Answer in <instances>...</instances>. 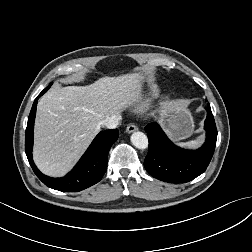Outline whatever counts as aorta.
Returning a JSON list of instances; mask_svg holds the SVG:
<instances>
[{"mask_svg": "<svg viewBox=\"0 0 252 252\" xmlns=\"http://www.w3.org/2000/svg\"><path fill=\"white\" fill-rule=\"evenodd\" d=\"M131 142L138 149H146L148 147V138L140 131H136L131 135Z\"/></svg>", "mask_w": 252, "mask_h": 252, "instance_id": "obj_1", "label": "aorta"}]
</instances>
